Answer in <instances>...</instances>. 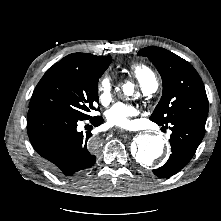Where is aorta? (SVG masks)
Listing matches in <instances>:
<instances>
[{
	"mask_svg": "<svg viewBox=\"0 0 221 221\" xmlns=\"http://www.w3.org/2000/svg\"><path fill=\"white\" fill-rule=\"evenodd\" d=\"M123 91L127 95H132L134 85L130 82L123 85ZM136 148L133 152L135 161L143 166H152L154 161L159 159L165 152V141L159 135L144 134L135 140Z\"/></svg>",
	"mask_w": 221,
	"mask_h": 221,
	"instance_id": "1",
	"label": "aorta"
}]
</instances>
